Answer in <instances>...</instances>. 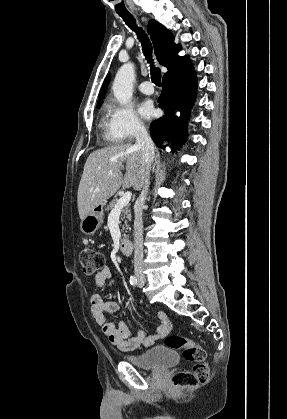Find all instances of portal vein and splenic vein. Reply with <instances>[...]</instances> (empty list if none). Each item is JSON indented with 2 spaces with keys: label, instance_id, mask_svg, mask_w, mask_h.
I'll list each match as a JSON object with an SVG mask.
<instances>
[{
  "label": "portal vein and splenic vein",
  "instance_id": "obj_1",
  "mask_svg": "<svg viewBox=\"0 0 287 419\" xmlns=\"http://www.w3.org/2000/svg\"><path fill=\"white\" fill-rule=\"evenodd\" d=\"M109 175H112L113 172L109 171L108 172ZM132 197V193L127 191L125 194H123L119 200L117 201L115 207L112 209V212H115L117 210H121L123 207H125L127 204H129L130 200Z\"/></svg>",
  "mask_w": 287,
  "mask_h": 419
}]
</instances>
